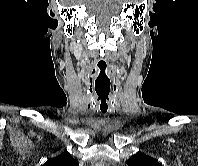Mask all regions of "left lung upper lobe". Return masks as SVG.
<instances>
[{
  "label": "left lung upper lobe",
  "instance_id": "obj_1",
  "mask_svg": "<svg viewBox=\"0 0 198 166\" xmlns=\"http://www.w3.org/2000/svg\"><path fill=\"white\" fill-rule=\"evenodd\" d=\"M128 166H162L156 159L145 155L143 153H137L133 155L128 161Z\"/></svg>",
  "mask_w": 198,
  "mask_h": 166
}]
</instances>
